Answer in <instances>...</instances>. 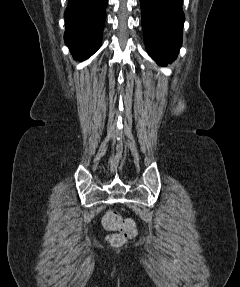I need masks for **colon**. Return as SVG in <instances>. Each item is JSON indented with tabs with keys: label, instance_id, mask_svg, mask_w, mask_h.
Returning a JSON list of instances; mask_svg holds the SVG:
<instances>
[{
	"label": "colon",
	"instance_id": "1",
	"mask_svg": "<svg viewBox=\"0 0 240 287\" xmlns=\"http://www.w3.org/2000/svg\"><path fill=\"white\" fill-rule=\"evenodd\" d=\"M103 226L116 233L109 236L113 246H119L136 235V227L131 219H124L116 211L110 210L103 217Z\"/></svg>",
	"mask_w": 240,
	"mask_h": 287
}]
</instances>
